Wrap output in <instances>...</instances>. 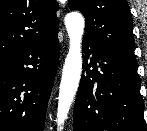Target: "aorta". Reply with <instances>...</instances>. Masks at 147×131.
<instances>
[{
    "label": "aorta",
    "mask_w": 147,
    "mask_h": 131,
    "mask_svg": "<svg viewBox=\"0 0 147 131\" xmlns=\"http://www.w3.org/2000/svg\"><path fill=\"white\" fill-rule=\"evenodd\" d=\"M65 25L70 40V47L65 59L60 83L56 119L58 130L63 128L80 82L82 71L81 43L85 27L84 18L80 13L71 12L65 17Z\"/></svg>",
    "instance_id": "aorta-1"
}]
</instances>
